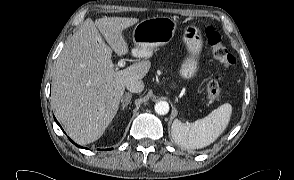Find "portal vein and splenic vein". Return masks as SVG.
<instances>
[{"label": "portal vein and splenic vein", "mask_w": 294, "mask_h": 180, "mask_svg": "<svg viewBox=\"0 0 294 180\" xmlns=\"http://www.w3.org/2000/svg\"><path fill=\"white\" fill-rule=\"evenodd\" d=\"M125 64H126L125 61L121 59V60L118 61L117 66H118L119 68H122V67L125 66Z\"/></svg>", "instance_id": "18ae733b"}]
</instances>
